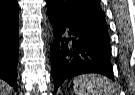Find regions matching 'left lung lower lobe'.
<instances>
[{"instance_id":"1","label":"left lung lower lobe","mask_w":135,"mask_h":95,"mask_svg":"<svg viewBox=\"0 0 135 95\" xmlns=\"http://www.w3.org/2000/svg\"><path fill=\"white\" fill-rule=\"evenodd\" d=\"M47 9L54 36L50 59L55 93L66 79L80 74L99 73L114 80L108 30Z\"/></svg>"}]
</instances>
